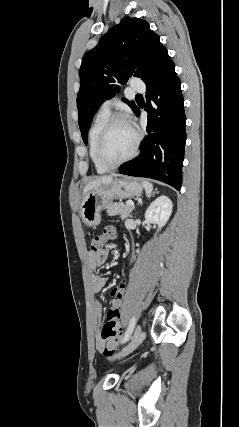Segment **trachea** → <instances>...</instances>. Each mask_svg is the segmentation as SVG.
I'll list each match as a JSON object with an SVG mask.
<instances>
[{"mask_svg":"<svg viewBox=\"0 0 239 427\" xmlns=\"http://www.w3.org/2000/svg\"><path fill=\"white\" fill-rule=\"evenodd\" d=\"M136 97H142V95H140V94H137V95H136Z\"/></svg>","mask_w":239,"mask_h":427,"instance_id":"trachea-1","label":"trachea"}]
</instances>
